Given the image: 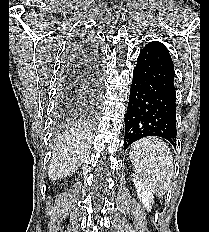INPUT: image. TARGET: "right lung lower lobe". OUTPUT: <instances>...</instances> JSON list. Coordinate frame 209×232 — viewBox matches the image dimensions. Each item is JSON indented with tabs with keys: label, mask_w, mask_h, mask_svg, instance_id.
Masks as SVG:
<instances>
[{
	"label": "right lung lower lobe",
	"mask_w": 209,
	"mask_h": 232,
	"mask_svg": "<svg viewBox=\"0 0 209 232\" xmlns=\"http://www.w3.org/2000/svg\"><path fill=\"white\" fill-rule=\"evenodd\" d=\"M71 61L79 62L80 67L88 65H98L99 55L98 49L94 46H86L85 44L80 45L71 55ZM90 73L94 74V71L87 70L85 76L89 77Z\"/></svg>",
	"instance_id": "right-lung-lower-lobe-1"
}]
</instances>
